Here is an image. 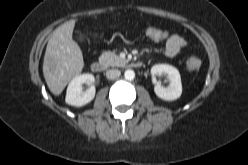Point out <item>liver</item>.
Listing matches in <instances>:
<instances>
[{
  "instance_id": "6515ba94",
  "label": "liver",
  "mask_w": 248,
  "mask_h": 165,
  "mask_svg": "<svg viewBox=\"0 0 248 165\" xmlns=\"http://www.w3.org/2000/svg\"><path fill=\"white\" fill-rule=\"evenodd\" d=\"M75 23L76 20H70L56 28L46 47L43 74L49 90L56 96L84 67L82 51L72 39Z\"/></svg>"
}]
</instances>
